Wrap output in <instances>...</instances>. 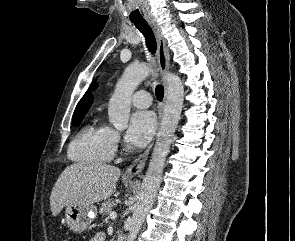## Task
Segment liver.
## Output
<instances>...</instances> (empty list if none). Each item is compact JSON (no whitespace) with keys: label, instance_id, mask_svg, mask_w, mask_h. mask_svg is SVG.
Wrapping results in <instances>:
<instances>
[{"label":"liver","instance_id":"1","mask_svg":"<svg viewBox=\"0 0 295 241\" xmlns=\"http://www.w3.org/2000/svg\"><path fill=\"white\" fill-rule=\"evenodd\" d=\"M120 169L100 163H74L61 173L50 196L53 216L69 204H87L109 198L116 190Z\"/></svg>","mask_w":295,"mask_h":241}]
</instances>
